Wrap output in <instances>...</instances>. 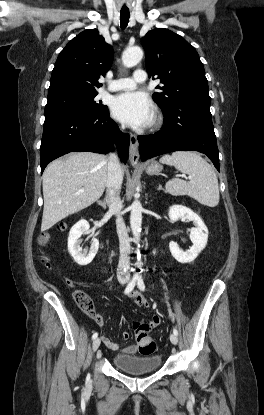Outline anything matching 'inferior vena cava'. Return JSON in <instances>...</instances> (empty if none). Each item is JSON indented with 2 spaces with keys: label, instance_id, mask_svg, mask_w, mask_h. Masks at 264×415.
<instances>
[{
  "label": "inferior vena cava",
  "instance_id": "602c4592",
  "mask_svg": "<svg viewBox=\"0 0 264 415\" xmlns=\"http://www.w3.org/2000/svg\"><path fill=\"white\" fill-rule=\"evenodd\" d=\"M124 128V127H122ZM123 180V172L119 159L115 153L109 154L108 157V177L106 181V202L109 211L116 215V228L119 237L120 258L117 269L119 276L128 275L130 268V239L128 232L121 216L122 201L120 199V190Z\"/></svg>",
  "mask_w": 264,
  "mask_h": 415
}]
</instances>
